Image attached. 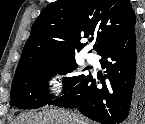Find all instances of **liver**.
I'll list each match as a JSON object with an SVG mask.
<instances>
[{"instance_id":"6515ba94","label":"liver","mask_w":145,"mask_h":124,"mask_svg":"<svg viewBox=\"0 0 145 124\" xmlns=\"http://www.w3.org/2000/svg\"><path fill=\"white\" fill-rule=\"evenodd\" d=\"M14 124H89L88 121L65 110L54 109L42 112L25 113L14 121Z\"/></svg>"}]
</instances>
